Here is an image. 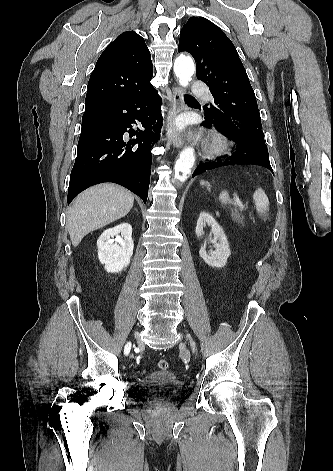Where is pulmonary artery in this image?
<instances>
[{
	"instance_id": "1",
	"label": "pulmonary artery",
	"mask_w": 333,
	"mask_h": 471,
	"mask_svg": "<svg viewBox=\"0 0 333 471\" xmlns=\"http://www.w3.org/2000/svg\"><path fill=\"white\" fill-rule=\"evenodd\" d=\"M192 93L197 96H204L207 99H212V96L207 88V86L200 82V81H195L192 86Z\"/></svg>"
}]
</instances>
